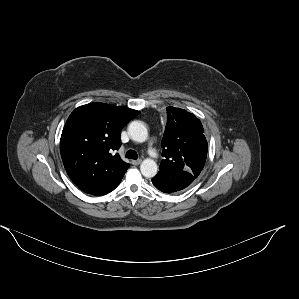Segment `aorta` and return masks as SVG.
<instances>
[{
	"instance_id": "aorta-1",
	"label": "aorta",
	"mask_w": 299,
	"mask_h": 299,
	"mask_svg": "<svg viewBox=\"0 0 299 299\" xmlns=\"http://www.w3.org/2000/svg\"><path fill=\"white\" fill-rule=\"evenodd\" d=\"M128 133L132 140L142 143L148 138L147 128L142 121H132L128 126ZM140 171L144 177L152 178L157 174L158 167L153 159H144L140 165Z\"/></svg>"
}]
</instances>
